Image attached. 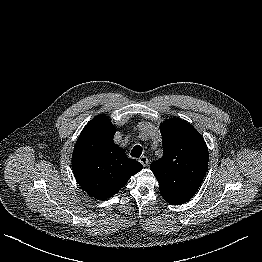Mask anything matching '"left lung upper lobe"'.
<instances>
[{"label": "left lung upper lobe", "mask_w": 262, "mask_h": 262, "mask_svg": "<svg viewBox=\"0 0 262 262\" xmlns=\"http://www.w3.org/2000/svg\"><path fill=\"white\" fill-rule=\"evenodd\" d=\"M163 156L151 163L162 197L170 204L189 201L199 189L208 168V148L188 122L171 118L160 126Z\"/></svg>", "instance_id": "1"}]
</instances>
